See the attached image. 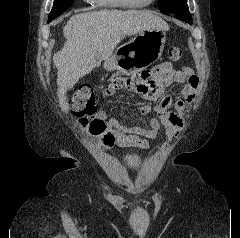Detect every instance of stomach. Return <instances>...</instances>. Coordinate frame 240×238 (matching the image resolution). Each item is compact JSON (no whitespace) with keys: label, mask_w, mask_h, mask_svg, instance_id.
Returning <instances> with one entry per match:
<instances>
[{"label":"stomach","mask_w":240,"mask_h":238,"mask_svg":"<svg viewBox=\"0 0 240 238\" xmlns=\"http://www.w3.org/2000/svg\"><path fill=\"white\" fill-rule=\"evenodd\" d=\"M166 41V30L148 29L140 32L129 42L117 48L107 59L104 67L130 75L156 62L162 55Z\"/></svg>","instance_id":"stomach-1"}]
</instances>
